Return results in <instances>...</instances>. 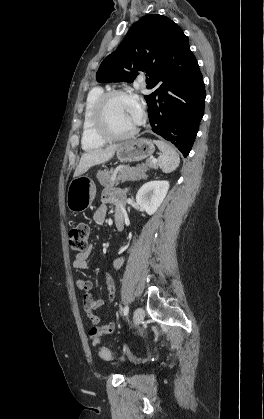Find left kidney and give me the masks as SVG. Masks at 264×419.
<instances>
[{"mask_svg": "<svg viewBox=\"0 0 264 419\" xmlns=\"http://www.w3.org/2000/svg\"><path fill=\"white\" fill-rule=\"evenodd\" d=\"M169 190L166 180H153L145 183L136 194V202L148 215L154 214L162 204Z\"/></svg>", "mask_w": 264, "mask_h": 419, "instance_id": "5707ae66", "label": "left kidney"}]
</instances>
